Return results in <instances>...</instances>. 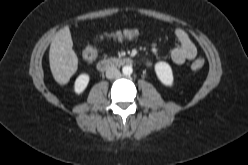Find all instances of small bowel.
<instances>
[{
    "mask_svg": "<svg viewBox=\"0 0 248 165\" xmlns=\"http://www.w3.org/2000/svg\"><path fill=\"white\" fill-rule=\"evenodd\" d=\"M123 32L129 33V35L126 37H118V36H112V37L117 40H123V39H133L139 35L138 30L135 29L123 31ZM174 35L178 42V45L170 53L171 61L176 65H181L186 61L195 59L197 56V49L193 44L189 34L183 29H176ZM148 65H151V63H148Z\"/></svg>",
    "mask_w": 248,
    "mask_h": 165,
    "instance_id": "c3829d8e",
    "label": "small bowel"
}]
</instances>
